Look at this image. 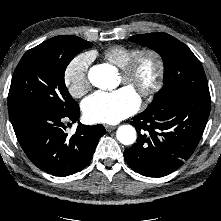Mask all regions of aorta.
<instances>
[{
    "mask_svg": "<svg viewBox=\"0 0 221 221\" xmlns=\"http://www.w3.org/2000/svg\"><path fill=\"white\" fill-rule=\"evenodd\" d=\"M88 78L92 85L100 89L107 90L114 87L115 73L105 65L93 66L88 73ZM116 137L123 145H131L136 140V130L131 125H121L117 129Z\"/></svg>",
    "mask_w": 221,
    "mask_h": 221,
    "instance_id": "1",
    "label": "aorta"
}]
</instances>
